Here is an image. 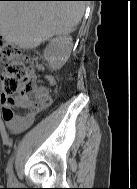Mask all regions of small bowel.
I'll return each instance as SVG.
<instances>
[{"instance_id":"small-bowel-1","label":"small bowel","mask_w":137,"mask_h":189,"mask_svg":"<svg viewBox=\"0 0 137 189\" xmlns=\"http://www.w3.org/2000/svg\"><path fill=\"white\" fill-rule=\"evenodd\" d=\"M33 80L35 83L34 95L38 99L37 109H30L29 105L26 103L25 96H17L7 99L4 102L2 116L8 129L14 134H20L26 131L35 121L38 111L46 108L52 103V98L50 97L47 88L36 84L35 75L33 76ZM45 80L50 86L56 84L55 78L51 75L45 76ZM14 108H19L22 112L17 113L13 110Z\"/></svg>"}]
</instances>
